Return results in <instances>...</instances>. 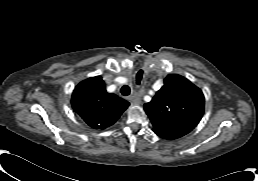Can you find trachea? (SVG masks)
Listing matches in <instances>:
<instances>
[{"label":"trachea","mask_w":258,"mask_h":181,"mask_svg":"<svg viewBox=\"0 0 258 181\" xmlns=\"http://www.w3.org/2000/svg\"><path fill=\"white\" fill-rule=\"evenodd\" d=\"M120 91H121L122 95L128 96L130 94V87L127 85H124V86H122Z\"/></svg>","instance_id":"trachea-1"}]
</instances>
